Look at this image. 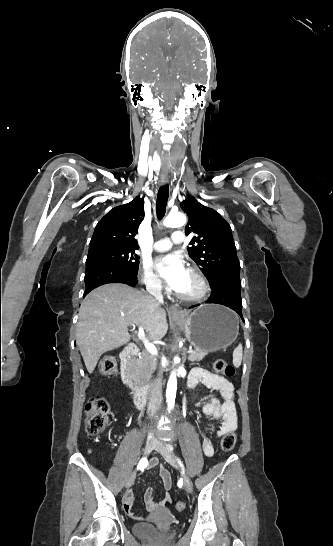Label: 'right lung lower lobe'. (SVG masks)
Instances as JSON below:
<instances>
[{
	"label": "right lung lower lobe",
	"instance_id": "obj_1",
	"mask_svg": "<svg viewBox=\"0 0 333 546\" xmlns=\"http://www.w3.org/2000/svg\"><path fill=\"white\" fill-rule=\"evenodd\" d=\"M84 280V297L96 287L107 283H124L134 287L138 282L137 272L106 261L87 263Z\"/></svg>",
	"mask_w": 333,
	"mask_h": 546
}]
</instances>
